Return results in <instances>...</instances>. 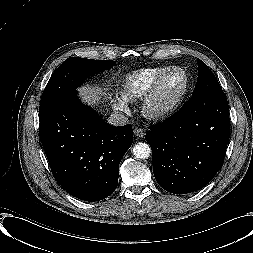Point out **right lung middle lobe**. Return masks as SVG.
<instances>
[{
    "mask_svg": "<svg viewBox=\"0 0 253 253\" xmlns=\"http://www.w3.org/2000/svg\"><path fill=\"white\" fill-rule=\"evenodd\" d=\"M115 65L113 60L71 57L65 60L48 81L40 102L39 118L49 113L59 100L75 92L84 79Z\"/></svg>",
    "mask_w": 253,
    "mask_h": 253,
    "instance_id": "obj_1",
    "label": "right lung middle lobe"
}]
</instances>
